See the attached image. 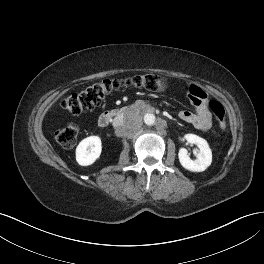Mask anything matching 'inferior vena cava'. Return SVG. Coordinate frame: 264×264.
<instances>
[{
	"mask_svg": "<svg viewBox=\"0 0 264 264\" xmlns=\"http://www.w3.org/2000/svg\"><path fill=\"white\" fill-rule=\"evenodd\" d=\"M113 125L116 128H122V127H124V125H125L124 118H122V117H116V118H114Z\"/></svg>",
	"mask_w": 264,
	"mask_h": 264,
	"instance_id": "602c4592",
	"label": "inferior vena cava"
}]
</instances>
